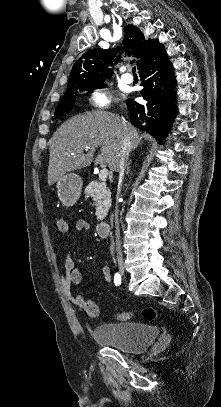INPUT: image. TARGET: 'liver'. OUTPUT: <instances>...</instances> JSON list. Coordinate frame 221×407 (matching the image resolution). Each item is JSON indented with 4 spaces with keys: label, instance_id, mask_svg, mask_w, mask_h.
Segmentation results:
<instances>
[{
    "label": "liver",
    "instance_id": "1",
    "mask_svg": "<svg viewBox=\"0 0 221 407\" xmlns=\"http://www.w3.org/2000/svg\"><path fill=\"white\" fill-rule=\"evenodd\" d=\"M126 135L130 138L131 148L140 144L142 136L135 127L126 121L124 125L122 118L105 111L88 112L65 121L49 141L48 185H53L67 172L87 167L93 161L95 164H108L112 171H117ZM98 147L100 153L94 158Z\"/></svg>",
    "mask_w": 221,
    "mask_h": 407
}]
</instances>
